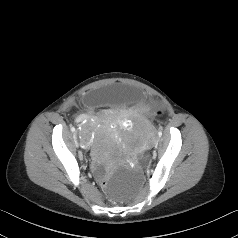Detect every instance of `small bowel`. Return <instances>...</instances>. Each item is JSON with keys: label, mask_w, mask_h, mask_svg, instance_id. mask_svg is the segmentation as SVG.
Returning <instances> with one entry per match:
<instances>
[{"label": "small bowel", "mask_w": 238, "mask_h": 238, "mask_svg": "<svg viewBox=\"0 0 238 238\" xmlns=\"http://www.w3.org/2000/svg\"><path fill=\"white\" fill-rule=\"evenodd\" d=\"M78 119H79V120H82L83 118H82V117H79Z\"/></svg>", "instance_id": "1"}]
</instances>
